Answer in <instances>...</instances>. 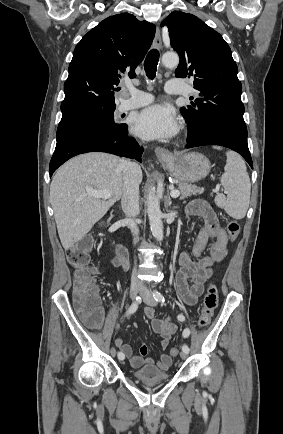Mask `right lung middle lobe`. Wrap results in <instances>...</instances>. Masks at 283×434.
Returning <instances> with one entry per match:
<instances>
[{
	"mask_svg": "<svg viewBox=\"0 0 283 434\" xmlns=\"http://www.w3.org/2000/svg\"><path fill=\"white\" fill-rule=\"evenodd\" d=\"M114 110L115 109H111L92 114L62 118L57 129V141H60L72 134L90 129H126V124H116L114 122Z\"/></svg>",
	"mask_w": 283,
	"mask_h": 434,
	"instance_id": "right-lung-middle-lobe-1",
	"label": "right lung middle lobe"
}]
</instances>
